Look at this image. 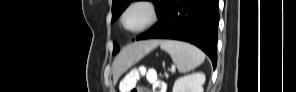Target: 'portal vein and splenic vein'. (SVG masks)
<instances>
[{
    "mask_svg": "<svg viewBox=\"0 0 296 92\" xmlns=\"http://www.w3.org/2000/svg\"><path fill=\"white\" fill-rule=\"evenodd\" d=\"M171 72L174 73L175 72V67L171 68Z\"/></svg>",
    "mask_w": 296,
    "mask_h": 92,
    "instance_id": "obj_1",
    "label": "portal vein and splenic vein"
}]
</instances>
